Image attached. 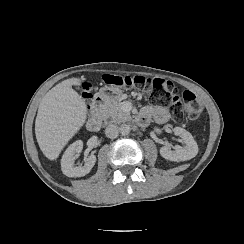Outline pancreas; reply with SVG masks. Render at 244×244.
<instances>
[{"label":"pancreas","mask_w":244,"mask_h":244,"mask_svg":"<svg viewBox=\"0 0 244 244\" xmlns=\"http://www.w3.org/2000/svg\"><path fill=\"white\" fill-rule=\"evenodd\" d=\"M122 103L118 99L112 100L101 107L98 116L101 120L111 119L112 122L122 123L132 120L130 114L122 110Z\"/></svg>","instance_id":"pancreas-1"}]
</instances>
